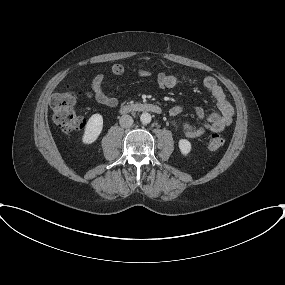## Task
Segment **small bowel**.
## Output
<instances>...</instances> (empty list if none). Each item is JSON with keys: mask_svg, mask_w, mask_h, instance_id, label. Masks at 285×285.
<instances>
[{"mask_svg": "<svg viewBox=\"0 0 285 285\" xmlns=\"http://www.w3.org/2000/svg\"><path fill=\"white\" fill-rule=\"evenodd\" d=\"M140 76H150L152 73L147 70L140 69L138 71ZM157 84L162 89H175L180 78L174 74L157 73L155 74ZM183 80H190L188 76H184ZM205 89L216 101L218 112H213L209 115H205L201 108H196L194 113L199 119L198 124H192L189 122H178L177 117L184 110L183 106L176 105L169 111L170 117L172 118V124L178 128L182 134L188 138H197L204 135L207 131L218 133L223 131L227 126L232 123L233 119V107L227 100L225 93L213 77H206L203 81ZM92 91L89 93L93 96L100 104L107 107H115L118 105L116 97L108 95L104 90L103 75H96L91 83Z\"/></svg>", "mask_w": 285, "mask_h": 285, "instance_id": "obj_1", "label": "small bowel"}]
</instances>
